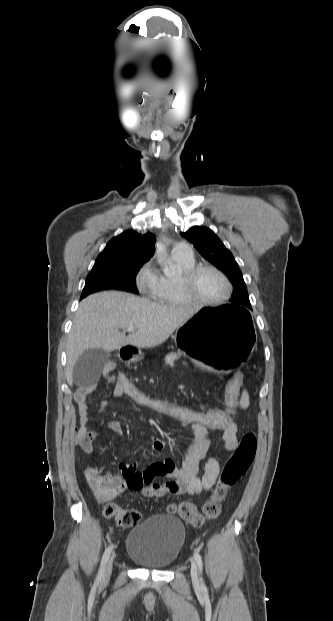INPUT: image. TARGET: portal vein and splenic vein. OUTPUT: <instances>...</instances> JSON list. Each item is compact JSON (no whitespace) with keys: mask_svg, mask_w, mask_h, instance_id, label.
Returning a JSON list of instances; mask_svg holds the SVG:
<instances>
[{"mask_svg":"<svg viewBox=\"0 0 333 621\" xmlns=\"http://www.w3.org/2000/svg\"><path fill=\"white\" fill-rule=\"evenodd\" d=\"M134 330H135V328H134V327H132V326H130V327H128V328L126 329V331H128V332H132V331H134Z\"/></svg>","mask_w":333,"mask_h":621,"instance_id":"portal-vein-and-splenic-vein-1","label":"portal vein and splenic vein"}]
</instances>
